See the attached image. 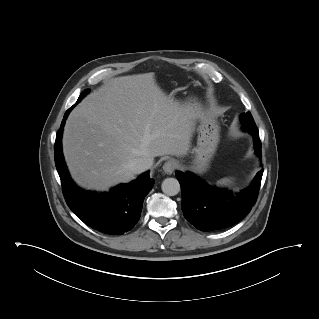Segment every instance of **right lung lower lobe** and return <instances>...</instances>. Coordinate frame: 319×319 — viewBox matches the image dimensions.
Returning a JSON list of instances; mask_svg holds the SVG:
<instances>
[{
    "label": "right lung lower lobe",
    "mask_w": 319,
    "mask_h": 319,
    "mask_svg": "<svg viewBox=\"0 0 319 319\" xmlns=\"http://www.w3.org/2000/svg\"><path fill=\"white\" fill-rule=\"evenodd\" d=\"M75 105L66 111L54 147L55 164L64 198L72 212L88 226L105 234H123L139 220L143 200L153 187L154 180L146 172L136 180L112 188L107 193L87 192L78 188L69 176L61 145L65 119Z\"/></svg>",
    "instance_id": "98d812e1"
}]
</instances>
